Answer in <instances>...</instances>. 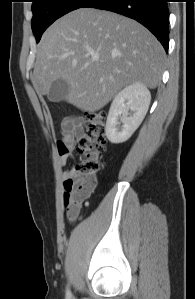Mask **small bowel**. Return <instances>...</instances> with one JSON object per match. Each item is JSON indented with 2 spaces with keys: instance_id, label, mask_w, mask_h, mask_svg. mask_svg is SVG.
<instances>
[{
  "instance_id": "c3829d8e",
  "label": "small bowel",
  "mask_w": 195,
  "mask_h": 299,
  "mask_svg": "<svg viewBox=\"0 0 195 299\" xmlns=\"http://www.w3.org/2000/svg\"><path fill=\"white\" fill-rule=\"evenodd\" d=\"M84 131V122L80 117L67 119L62 123V140L59 143V165L65 166L68 159L73 156L72 149L78 138L81 137ZM75 176L74 167L66 170L63 175L65 192L69 189L68 184ZM67 218L71 222H76L80 218V213L77 216H69Z\"/></svg>"
}]
</instances>
